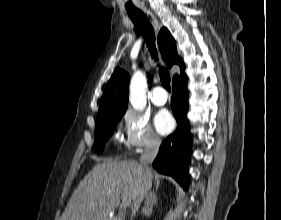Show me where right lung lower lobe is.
<instances>
[{"mask_svg":"<svg viewBox=\"0 0 281 220\" xmlns=\"http://www.w3.org/2000/svg\"><path fill=\"white\" fill-rule=\"evenodd\" d=\"M171 108L177 120L176 131L162 143L153 167L160 173L174 177L187 190L190 175L191 134L187 120L188 91L186 79L173 83Z\"/></svg>","mask_w":281,"mask_h":220,"instance_id":"right-lung-lower-lobe-1","label":"right lung lower lobe"}]
</instances>
